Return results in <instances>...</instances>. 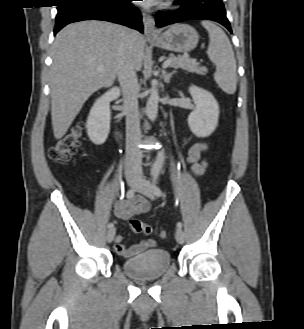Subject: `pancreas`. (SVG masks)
Here are the masks:
<instances>
[{
  "label": "pancreas",
  "mask_w": 304,
  "mask_h": 329,
  "mask_svg": "<svg viewBox=\"0 0 304 329\" xmlns=\"http://www.w3.org/2000/svg\"><path fill=\"white\" fill-rule=\"evenodd\" d=\"M168 60H171L170 66L175 69L181 68L188 72L197 73L200 75H205L207 73V68L201 67L199 63L193 59L171 56Z\"/></svg>",
  "instance_id": "1"
}]
</instances>
